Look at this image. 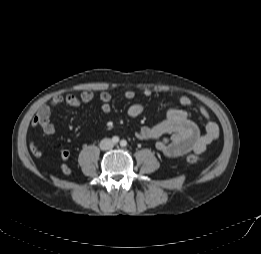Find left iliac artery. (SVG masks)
<instances>
[{"label": "left iliac artery", "mask_w": 261, "mask_h": 254, "mask_svg": "<svg viewBox=\"0 0 261 254\" xmlns=\"http://www.w3.org/2000/svg\"><path fill=\"white\" fill-rule=\"evenodd\" d=\"M120 145H121L122 147H125V146L127 145L126 140H122V141L120 142Z\"/></svg>", "instance_id": "left-iliac-artery-1"}]
</instances>
